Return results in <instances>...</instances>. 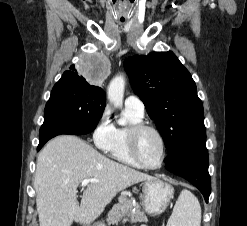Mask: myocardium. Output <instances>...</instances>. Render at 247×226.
Segmentation results:
<instances>
[{
	"label": "myocardium",
	"instance_id": "myocardium-1",
	"mask_svg": "<svg viewBox=\"0 0 247 226\" xmlns=\"http://www.w3.org/2000/svg\"><path fill=\"white\" fill-rule=\"evenodd\" d=\"M145 130L152 131L154 134H156V136L158 137V139L160 140V143H161V150H162L161 159H160L159 163L156 165H148V164L144 163L142 161V159L140 158L139 153H138L137 140H138L139 135ZM127 144H128V150H129L131 157L142 168H145L148 170H156V169L160 168L166 160L167 145H166L165 138H164L163 134L160 132V130L157 129L153 125L141 122V123H137V124L131 126L129 128L128 134H127Z\"/></svg>",
	"mask_w": 247,
	"mask_h": 226
}]
</instances>
